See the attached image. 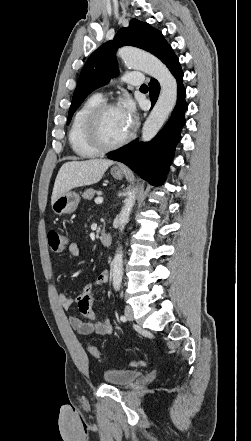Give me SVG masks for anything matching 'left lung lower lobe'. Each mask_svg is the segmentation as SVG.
I'll list each match as a JSON object with an SVG mask.
<instances>
[{
    "instance_id": "1",
    "label": "left lung lower lobe",
    "mask_w": 251,
    "mask_h": 441,
    "mask_svg": "<svg viewBox=\"0 0 251 441\" xmlns=\"http://www.w3.org/2000/svg\"><path fill=\"white\" fill-rule=\"evenodd\" d=\"M162 62L169 68L177 80L178 100L172 115L164 128L148 143H133L125 145L108 158L124 163L134 170L151 185L159 186L164 183L169 170L175 147L180 140L181 129L185 124L184 113L187 110L185 101L186 89L183 86V72L179 59L171 48ZM149 96L152 107L160 92L159 82L152 78L149 82Z\"/></svg>"
}]
</instances>
